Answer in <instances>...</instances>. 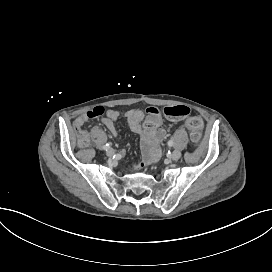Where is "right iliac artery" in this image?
Returning a JSON list of instances; mask_svg holds the SVG:
<instances>
[{"label":"right iliac artery","mask_w":272,"mask_h":272,"mask_svg":"<svg viewBox=\"0 0 272 272\" xmlns=\"http://www.w3.org/2000/svg\"><path fill=\"white\" fill-rule=\"evenodd\" d=\"M103 149L106 150V151L109 150V149H110V144L107 143V144L103 147Z\"/></svg>","instance_id":"82829eb1"}]
</instances>
